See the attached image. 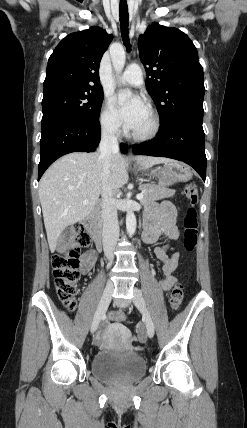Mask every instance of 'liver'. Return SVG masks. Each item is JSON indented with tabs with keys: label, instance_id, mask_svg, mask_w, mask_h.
Listing matches in <instances>:
<instances>
[{
	"label": "liver",
	"instance_id": "6515ba94",
	"mask_svg": "<svg viewBox=\"0 0 247 428\" xmlns=\"http://www.w3.org/2000/svg\"><path fill=\"white\" fill-rule=\"evenodd\" d=\"M99 153H70L52 164L39 184L47 240L51 252L57 248L61 233L70 225L87 217L95 208L104 184L102 162ZM134 160L142 168L171 162L163 157L136 156ZM128 182V159L115 155L108 185L112 190L123 187ZM87 199L88 204H83Z\"/></svg>",
	"mask_w": 247,
	"mask_h": 428
}]
</instances>
